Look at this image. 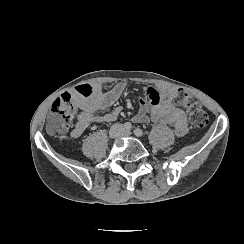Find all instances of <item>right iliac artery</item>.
Here are the masks:
<instances>
[{
    "instance_id": "obj_1",
    "label": "right iliac artery",
    "mask_w": 244,
    "mask_h": 244,
    "mask_svg": "<svg viewBox=\"0 0 244 244\" xmlns=\"http://www.w3.org/2000/svg\"><path fill=\"white\" fill-rule=\"evenodd\" d=\"M123 127L126 130H130L132 128V124L130 122H126V123H124Z\"/></svg>"
}]
</instances>
